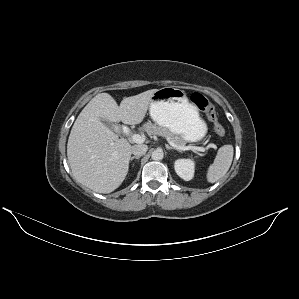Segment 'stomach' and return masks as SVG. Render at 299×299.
I'll list each match as a JSON object with an SVG mask.
<instances>
[{"label":"stomach","mask_w":299,"mask_h":299,"mask_svg":"<svg viewBox=\"0 0 299 299\" xmlns=\"http://www.w3.org/2000/svg\"><path fill=\"white\" fill-rule=\"evenodd\" d=\"M149 113L156 124L179 135L183 141L199 142L207 133V125L200 118L197 108L179 88L156 90L150 101Z\"/></svg>","instance_id":"1"}]
</instances>
